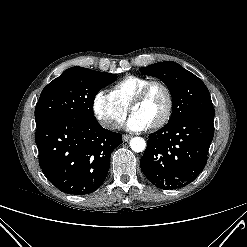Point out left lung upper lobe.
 Returning <instances> with one entry per match:
<instances>
[{
    "label": "left lung upper lobe",
    "instance_id": "1",
    "mask_svg": "<svg viewBox=\"0 0 247 247\" xmlns=\"http://www.w3.org/2000/svg\"><path fill=\"white\" fill-rule=\"evenodd\" d=\"M143 74L159 78L172 95V115L168 123L185 116L214 119V108L205 84L177 63L165 61L140 68Z\"/></svg>",
    "mask_w": 247,
    "mask_h": 247
}]
</instances>
